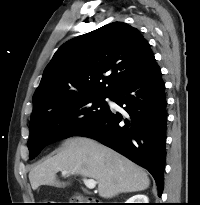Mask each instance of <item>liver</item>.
<instances>
[{"label":"liver","mask_w":200,"mask_h":205,"mask_svg":"<svg viewBox=\"0 0 200 205\" xmlns=\"http://www.w3.org/2000/svg\"><path fill=\"white\" fill-rule=\"evenodd\" d=\"M59 171H67L63 176L77 174L94 179L102 198L142 191L150 184L145 170L89 138L74 137L65 140L55 156L33 167L29 172L32 189L36 190L41 185L62 186L56 178Z\"/></svg>","instance_id":"6515ba94"}]
</instances>
